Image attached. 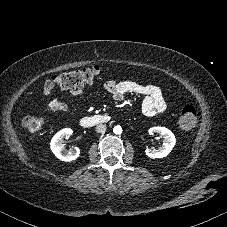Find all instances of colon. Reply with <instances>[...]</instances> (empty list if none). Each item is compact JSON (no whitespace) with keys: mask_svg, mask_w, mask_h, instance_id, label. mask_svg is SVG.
I'll list each match as a JSON object with an SVG mask.
<instances>
[{"mask_svg":"<svg viewBox=\"0 0 227 227\" xmlns=\"http://www.w3.org/2000/svg\"><path fill=\"white\" fill-rule=\"evenodd\" d=\"M102 74L99 66L85 67L78 70L63 72L55 77L56 85L64 91H76L93 83ZM197 121V112L191 105L185 106L178 119L177 127L180 131L191 130ZM23 127L32 135H38L45 127V120L39 116H28L22 121Z\"/></svg>","mask_w":227,"mask_h":227,"instance_id":"1","label":"colon"}]
</instances>
